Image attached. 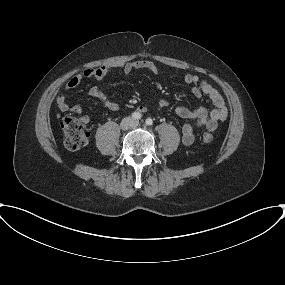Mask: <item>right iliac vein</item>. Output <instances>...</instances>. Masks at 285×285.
<instances>
[{
	"instance_id": "1",
	"label": "right iliac vein",
	"mask_w": 285,
	"mask_h": 285,
	"mask_svg": "<svg viewBox=\"0 0 285 285\" xmlns=\"http://www.w3.org/2000/svg\"><path fill=\"white\" fill-rule=\"evenodd\" d=\"M133 121L131 118H124L120 124L122 130H128L132 126Z\"/></svg>"
}]
</instances>
